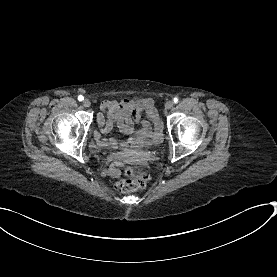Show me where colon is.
I'll return each instance as SVG.
<instances>
[{"label":"colon","instance_id":"5ec220e1","mask_svg":"<svg viewBox=\"0 0 277 277\" xmlns=\"http://www.w3.org/2000/svg\"><path fill=\"white\" fill-rule=\"evenodd\" d=\"M121 175L125 178L115 183V189L121 193H130L142 188H152L156 184V177L141 167L125 164L121 168Z\"/></svg>","mask_w":277,"mask_h":277}]
</instances>
